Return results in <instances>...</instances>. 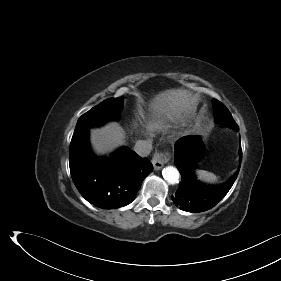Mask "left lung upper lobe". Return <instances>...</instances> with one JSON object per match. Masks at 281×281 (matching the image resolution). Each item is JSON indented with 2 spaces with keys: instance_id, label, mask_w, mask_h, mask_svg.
<instances>
[{
  "instance_id": "1",
  "label": "left lung upper lobe",
  "mask_w": 281,
  "mask_h": 281,
  "mask_svg": "<svg viewBox=\"0 0 281 281\" xmlns=\"http://www.w3.org/2000/svg\"><path fill=\"white\" fill-rule=\"evenodd\" d=\"M213 107L214 117L216 121L221 122L223 125L233 127L235 129L238 127L231 113L221 102L217 101L216 99H213Z\"/></svg>"
}]
</instances>
